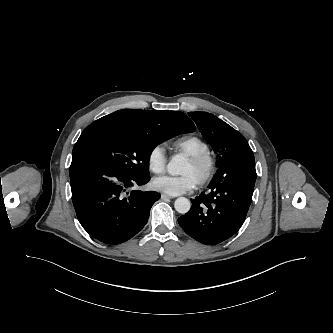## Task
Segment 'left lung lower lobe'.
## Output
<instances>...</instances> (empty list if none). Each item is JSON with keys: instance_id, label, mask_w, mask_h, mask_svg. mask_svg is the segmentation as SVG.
I'll use <instances>...</instances> for the list:
<instances>
[{"instance_id": "1", "label": "left lung lower lobe", "mask_w": 333, "mask_h": 333, "mask_svg": "<svg viewBox=\"0 0 333 333\" xmlns=\"http://www.w3.org/2000/svg\"><path fill=\"white\" fill-rule=\"evenodd\" d=\"M256 177L252 150L237 152L219 167L208 190L192 199L190 210L178 218V223L203 244L227 240L245 221Z\"/></svg>"}]
</instances>
